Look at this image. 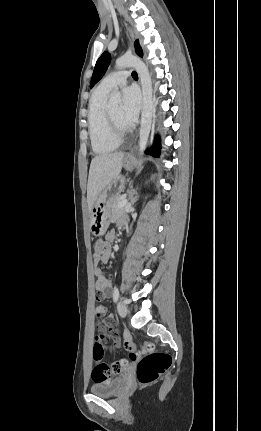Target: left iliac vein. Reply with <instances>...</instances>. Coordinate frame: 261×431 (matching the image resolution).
<instances>
[{"mask_svg":"<svg viewBox=\"0 0 261 431\" xmlns=\"http://www.w3.org/2000/svg\"><path fill=\"white\" fill-rule=\"evenodd\" d=\"M117 311H118V314L121 317H125L126 316V314L128 312V307H127L126 302L123 299H120V301L118 302V304H117Z\"/></svg>","mask_w":261,"mask_h":431,"instance_id":"4c4485c4","label":"left iliac vein"}]
</instances>
